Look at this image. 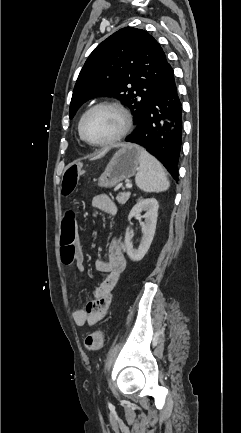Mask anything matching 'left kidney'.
Here are the masks:
<instances>
[{"instance_id":"1","label":"left kidney","mask_w":241,"mask_h":433,"mask_svg":"<svg viewBox=\"0 0 241 433\" xmlns=\"http://www.w3.org/2000/svg\"><path fill=\"white\" fill-rule=\"evenodd\" d=\"M158 208H159V204L156 199L140 198L138 199L137 204L132 208V210L129 213L128 220L130 221L133 216L140 215L142 211H146L144 215L145 222L142 224L143 238L138 249L133 248L132 245L133 236L130 233L129 227L127 228L125 234L124 243H125L126 252L129 258L134 262H138L142 260L150 248V245L152 243L155 234Z\"/></svg>"}]
</instances>
